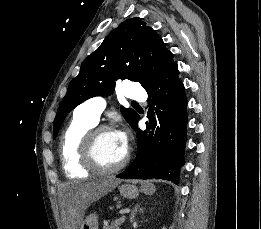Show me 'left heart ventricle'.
Segmentation results:
<instances>
[{
	"label": "left heart ventricle",
	"mask_w": 261,
	"mask_h": 229,
	"mask_svg": "<svg viewBox=\"0 0 261 229\" xmlns=\"http://www.w3.org/2000/svg\"><path fill=\"white\" fill-rule=\"evenodd\" d=\"M125 153L115 131L104 133L99 138L97 156L102 164L114 166L124 158Z\"/></svg>",
	"instance_id": "1"
}]
</instances>
